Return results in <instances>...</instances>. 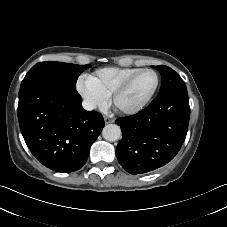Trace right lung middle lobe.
<instances>
[{
    "label": "right lung middle lobe",
    "mask_w": 227,
    "mask_h": 227,
    "mask_svg": "<svg viewBox=\"0 0 227 227\" xmlns=\"http://www.w3.org/2000/svg\"><path fill=\"white\" fill-rule=\"evenodd\" d=\"M89 67V64L76 65L54 61L39 62L28 71L20 88L38 79H49L76 89L78 76Z\"/></svg>",
    "instance_id": "dd1d6c3e"
}]
</instances>
